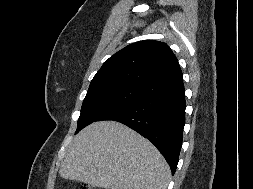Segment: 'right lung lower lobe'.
I'll return each mask as SVG.
<instances>
[{
    "instance_id": "1",
    "label": "right lung lower lobe",
    "mask_w": 253,
    "mask_h": 189,
    "mask_svg": "<svg viewBox=\"0 0 253 189\" xmlns=\"http://www.w3.org/2000/svg\"><path fill=\"white\" fill-rule=\"evenodd\" d=\"M183 80L148 91L136 102L108 114L101 120H114L148 138L175 173L185 125Z\"/></svg>"
}]
</instances>
